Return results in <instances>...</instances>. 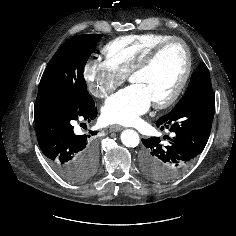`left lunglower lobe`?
<instances>
[{
    "instance_id": "0a47b994",
    "label": "left lung lower lobe",
    "mask_w": 236,
    "mask_h": 236,
    "mask_svg": "<svg viewBox=\"0 0 236 236\" xmlns=\"http://www.w3.org/2000/svg\"><path fill=\"white\" fill-rule=\"evenodd\" d=\"M215 112L212 87L192 97L180 109L156 122L167 128L172 137L162 143L159 137L142 139L145 149L141 157L143 173L157 181H169L180 175L202 153L208 141Z\"/></svg>"
}]
</instances>
